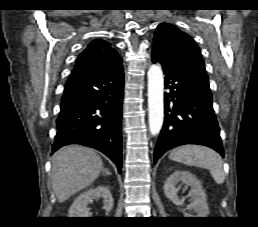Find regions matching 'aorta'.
Instances as JSON below:
<instances>
[{"mask_svg":"<svg viewBox=\"0 0 258 227\" xmlns=\"http://www.w3.org/2000/svg\"><path fill=\"white\" fill-rule=\"evenodd\" d=\"M164 79L160 66L151 65L148 71V116L151 135H157L164 119Z\"/></svg>","mask_w":258,"mask_h":227,"instance_id":"aorta-1","label":"aorta"}]
</instances>
